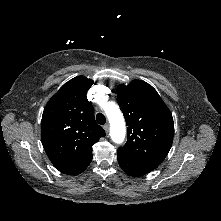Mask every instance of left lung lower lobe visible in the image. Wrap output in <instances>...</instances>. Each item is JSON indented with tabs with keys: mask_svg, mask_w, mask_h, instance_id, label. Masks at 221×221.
Listing matches in <instances>:
<instances>
[{
	"mask_svg": "<svg viewBox=\"0 0 221 221\" xmlns=\"http://www.w3.org/2000/svg\"><path fill=\"white\" fill-rule=\"evenodd\" d=\"M117 155L120 167L130 176H142L154 170V168L137 161L120 150H118Z\"/></svg>",
	"mask_w": 221,
	"mask_h": 221,
	"instance_id": "0a47b994",
	"label": "left lung lower lobe"
}]
</instances>
